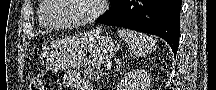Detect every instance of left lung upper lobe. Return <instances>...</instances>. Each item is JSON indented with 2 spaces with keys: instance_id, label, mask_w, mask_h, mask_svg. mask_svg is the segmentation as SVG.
I'll return each mask as SVG.
<instances>
[{
  "instance_id": "left-lung-upper-lobe-1",
  "label": "left lung upper lobe",
  "mask_w": 216,
  "mask_h": 90,
  "mask_svg": "<svg viewBox=\"0 0 216 90\" xmlns=\"http://www.w3.org/2000/svg\"><path fill=\"white\" fill-rule=\"evenodd\" d=\"M117 2L118 0H111L112 7H114L117 4Z\"/></svg>"
}]
</instances>
